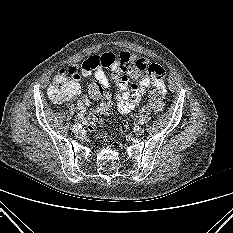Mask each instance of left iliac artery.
<instances>
[{
  "instance_id": "obj_1",
  "label": "left iliac artery",
  "mask_w": 233,
  "mask_h": 233,
  "mask_svg": "<svg viewBox=\"0 0 233 233\" xmlns=\"http://www.w3.org/2000/svg\"><path fill=\"white\" fill-rule=\"evenodd\" d=\"M138 124L143 125V124H144V120H143V119H140L139 122H138ZM136 127H137V126H136ZM138 128H139V127H138Z\"/></svg>"
}]
</instances>
